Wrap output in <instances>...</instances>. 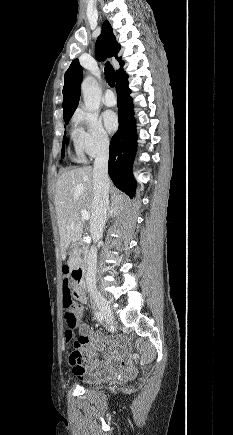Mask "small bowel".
Segmentation results:
<instances>
[{
    "label": "small bowel",
    "instance_id": "small-bowel-1",
    "mask_svg": "<svg viewBox=\"0 0 233 435\" xmlns=\"http://www.w3.org/2000/svg\"><path fill=\"white\" fill-rule=\"evenodd\" d=\"M63 295L70 296V283L62 282ZM79 313L82 308L77 306ZM82 334L89 336L91 342L83 339L78 347L82 355V361L77 364H70L73 367L74 373L82 380L87 382H95L104 380L106 374L121 373L122 378H131L136 372V366L132 362H124L121 360V352L116 345L111 341L107 343L99 342V335L90 330L87 324L80 325ZM96 351H101L104 354V359L100 360Z\"/></svg>",
    "mask_w": 233,
    "mask_h": 435
}]
</instances>
